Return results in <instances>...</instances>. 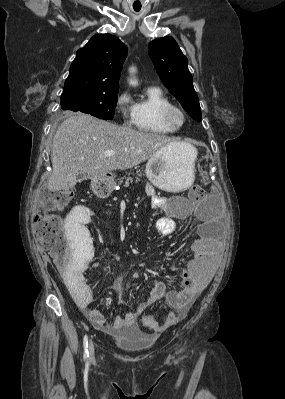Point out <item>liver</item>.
Listing matches in <instances>:
<instances>
[{
  "label": "liver",
  "mask_w": 285,
  "mask_h": 399,
  "mask_svg": "<svg viewBox=\"0 0 285 399\" xmlns=\"http://www.w3.org/2000/svg\"><path fill=\"white\" fill-rule=\"evenodd\" d=\"M173 143L177 142L164 135L117 126L83 113L73 114L60 124L53 139L48 190L73 189L79 173L94 179L130 169ZM106 151L116 154L104 157Z\"/></svg>",
  "instance_id": "liver-1"
}]
</instances>
